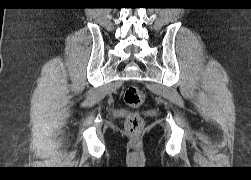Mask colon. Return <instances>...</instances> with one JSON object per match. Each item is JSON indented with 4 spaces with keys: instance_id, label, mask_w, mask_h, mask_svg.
I'll use <instances>...</instances> for the list:
<instances>
[{
    "instance_id": "obj_1",
    "label": "colon",
    "mask_w": 251,
    "mask_h": 180,
    "mask_svg": "<svg viewBox=\"0 0 251 180\" xmlns=\"http://www.w3.org/2000/svg\"><path fill=\"white\" fill-rule=\"evenodd\" d=\"M125 103L133 110L126 116L125 119V129L131 135H137L143 128V119L137 112V109L144 102L143 91L135 86H128L123 95Z\"/></svg>"
}]
</instances>
